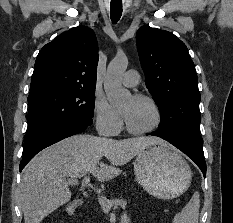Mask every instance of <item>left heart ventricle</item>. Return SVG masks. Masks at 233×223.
Instances as JSON below:
<instances>
[{"label":"left heart ventricle","mask_w":233,"mask_h":223,"mask_svg":"<svg viewBox=\"0 0 233 223\" xmlns=\"http://www.w3.org/2000/svg\"><path fill=\"white\" fill-rule=\"evenodd\" d=\"M123 114L128 113L125 119L129 126L137 131L152 128L156 123V114L153 107L145 100L129 98L119 109Z\"/></svg>","instance_id":"left-heart-ventricle-1"}]
</instances>
